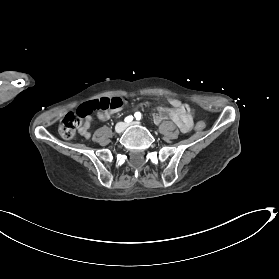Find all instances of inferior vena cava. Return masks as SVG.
<instances>
[{"label": "inferior vena cava", "instance_id": "1", "mask_svg": "<svg viewBox=\"0 0 279 279\" xmlns=\"http://www.w3.org/2000/svg\"><path fill=\"white\" fill-rule=\"evenodd\" d=\"M128 127V123H123V122H120L116 125L115 127V130L117 132V129H120V132H122L123 130H125L126 128Z\"/></svg>", "mask_w": 279, "mask_h": 279}]
</instances>
